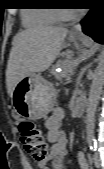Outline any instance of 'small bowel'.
<instances>
[{"mask_svg": "<svg viewBox=\"0 0 104 169\" xmlns=\"http://www.w3.org/2000/svg\"><path fill=\"white\" fill-rule=\"evenodd\" d=\"M64 110L55 107L51 115L45 121L47 130V139L52 146L48 157L38 163V169H49L48 164L52 165V169H63V160L68 154L67 138L63 129ZM78 163L80 169H89L88 161L82 151L78 152Z\"/></svg>", "mask_w": 104, "mask_h": 169, "instance_id": "obj_1", "label": "small bowel"}]
</instances>
